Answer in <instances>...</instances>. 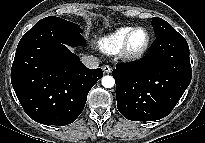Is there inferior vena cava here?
<instances>
[{
	"label": "inferior vena cava",
	"instance_id": "602c4592",
	"mask_svg": "<svg viewBox=\"0 0 205 143\" xmlns=\"http://www.w3.org/2000/svg\"><path fill=\"white\" fill-rule=\"evenodd\" d=\"M82 63L89 69H96L99 66V59L93 55L81 57Z\"/></svg>",
	"mask_w": 205,
	"mask_h": 143
}]
</instances>
